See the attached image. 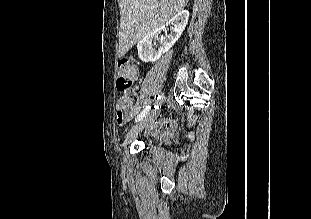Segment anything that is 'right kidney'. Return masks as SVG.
I'll use <instances>...</instances> for the list:
<instances>
[{
    "instance_id": "obj_1",
    "label": "right kidney",
    "mask_w": 311,
    "mask_h": 219,
    "mask_svg": "<svg viewBox=\"0 0 311 219\" xmlns=\"http://www.w3.org/2000/svg\"><path fill=\"white\" fill-rule=\"evenodd\" d=\"M189 19V12L183 10L172 17L166 25H173L171 27V33L167 35L162 42L159 49L156 51L153 49V45L158 38L161 30L164 27H160L155 31L151 32L140 40L137 44L138 56L143 62H155L157 61L162 54L166 53L179 39L182 32L184 31Z\"/></svg>"
}]
</instances>
